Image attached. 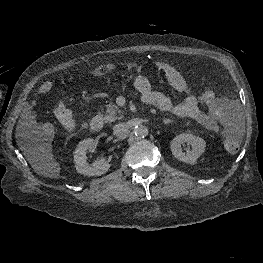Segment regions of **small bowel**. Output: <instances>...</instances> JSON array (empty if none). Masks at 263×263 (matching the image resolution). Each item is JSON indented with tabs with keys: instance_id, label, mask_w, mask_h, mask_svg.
<instances>
[{
	"instance_id": "obj_1",
	"label": "small bowel",
	"mask_w": 263,
	"mask_h": 263,
	"mask_svg": "<svg viewBox=\"0 0 263 263\" xmlns=\"http://www.w3.org/2000/svg\"><path fill=\"white\" fill-rule=\"evenodd\" d=\"M115 65L106 64L97 67L93 75L102 76L110 72ZM150 69L157 73H162L169 84L178 92L184 94L185 98L178 102L173 103L169 97L161 92L155 91L144 72H140L135 80L134 86L141 93L142 102L145 104H151L156 106L158 109L166 112H171L179 117H189L194 119L199 124L209 130H217L218 123L215 115L209 111L204 112L200 108V99L189 89L183 76L175 69L172 65L163 61H154L150 65ZM53 87L52 81H45L38 94H44L49 92ZM62 106V102H58L56 106ZM55 106V107H56ZM27 116L31 117V108L27 110Z\"/></svg>"
}]
</instances>
